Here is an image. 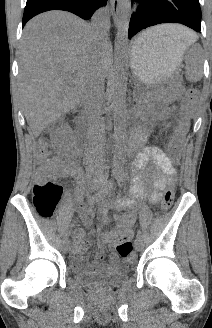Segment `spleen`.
<instances>
[{"label":"spleen","mask_w":212,"mask_h":328,"mask_svg":"<svg viewBox=\"0 0 212 328\" xmlns=\"http://www.w3.org/2000/svg\"><path fill=\"white\" fill-rule=\"evenodd\" d=\"M149 36L146 34V32H143L141 33L137 39L135 40L134 44L135 45H140V46H143L144 44H146V42L149 40ZM190 44V43H189ZM187 44L185 46V48L189 45ZM190 61V60H189ZM186 77L189 79V80H192V81H197V80H200L201 77H202V74L200 71H194L190 65L188 66L187 68V71H186Z\"/></svg>","instance_id":"3e777b00"}]
</instances>
